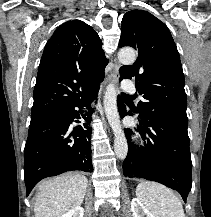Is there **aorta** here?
I'll use <instances>...</instances> for the list:
<instances>
[{
	"mask_svg": "<svg viewBox=\"0 0 211 217\" xmlns=\"http://www.w3.org/2000/svg\"><path fill=\"white\" fill-rule=\"evenodd\" d=\"M118 59L123 64H133L136 60V52L130 48L121 49ZM104 109L108 122L114 132V151L119 159L127 156L128 144L120 124V116L117 109V89L114 83L107 86L104 95Z\"/></svg>",
	"mask_w": 211,
	"mask_h": 217,
	"instance_id": "aorta-1",
	"label": "aorta"
}]
</instances>
